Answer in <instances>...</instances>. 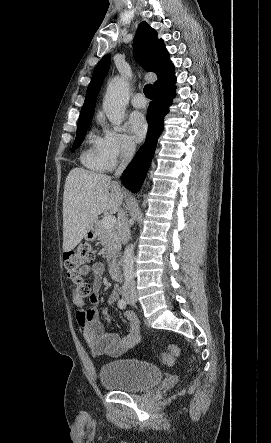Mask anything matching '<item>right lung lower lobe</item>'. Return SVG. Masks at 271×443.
<instances>
[{
  "mask_svg": "<svg viewBox=\"0 0 271 443\" xmlns=\"http://www.w3.org/2000/svg\"><path fill=\"white\" fill-rule=\"evenodd\" d=\"M176 80L160 85L153 90V101L147 113L148 135L133 160L122 174L125 187L136 193L142 186L156 148L157 139L163 130V119L168 113L171 100L175 97Z\"/></svg>",
  "mask_w": 271,
  "mask_h": 443,
  "instance_id": "right-lung-lower-lobe-1",
  "label": "right lung lower lobe"
}]
</instances>
